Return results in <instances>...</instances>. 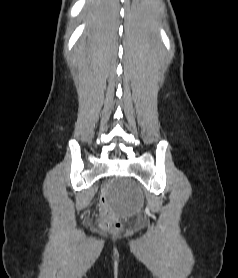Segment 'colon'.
<instances>
[{"label": "colon", "instance_id": "5ec220e1", "mask_svg": "<svg viewBox=\"0 0 238 278\" xmlns=\"http://www.w3.org/2000/svg\"><path fill=\"white\" fill-rule=\"evenodd\" d=\"M109 187L101 186L99 193L102 199L99 200V203L102 204V217L99 222V227L103 230L116 231L121 228V223L114 212L108 207V200L105 199L107 196Z\"/></svg>", "mask_w": 238, "mask_h": 278}]
</instances>
